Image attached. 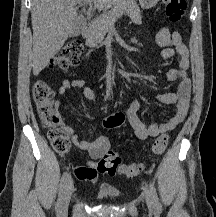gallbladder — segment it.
Instances as JSON below:
<instances>
[{
  "mask_svg": "<svg viewBox=\"0 0 216 217\" xmlns=\"http://www.w3.org/2000/svg\"><path fill=\"white\" fill-rule=\"evenodd\" d=\"M81 25H82V21H79L72 29L71 33H70V37H76L80 34L81 32Z\"/></svg>",
  "mask_w": 216,
  "mask_h": 217,
  "instance_id": "obj_1",
  "label": "gallbladder"
}]
</instances>
